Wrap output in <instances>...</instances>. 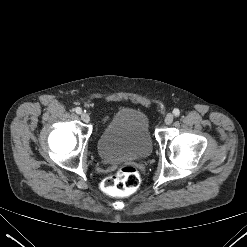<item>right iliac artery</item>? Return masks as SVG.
Listing matches in <instances>:
<instances>
[{
    "mask_svg": "<svg viewBox=\"0 0 247 247\" xmlns=\"http://www.w3.org/2000/svg\"><path fill=\"white\" fill-rule=\"evenodd\" d=\"M75 112H76L77 114H81V113H82V109H81L80 107H76V108H75Z\"/></svg>",
    "mask_w": 247,
    "mask_h": 247,
    "instance_id": "82829eb1",
    "label": "right iliac artery"
}]
</instances>
